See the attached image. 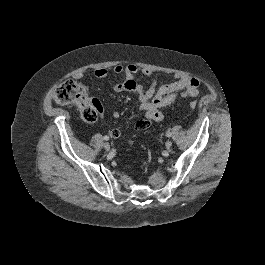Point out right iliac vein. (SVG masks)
Segmentation results:
<instances>
[{
  "mask_svg": "<svg viewBox=\"0 0 265 265\" xmlns=\"http://www.w3.org/2000/svg\"><path fill=\"white\" fill-rule=\"evenodd\" d=\"M103 147H104V149H105L106 151H109V150H110V145H109V143H105V144L103 145Z\"/></svg>",
  "mask_w": 265,
  "mask_h": 265,
  "instance_id": "63e3f726",
  "label": "right iliac vein"
}]
</instances>
